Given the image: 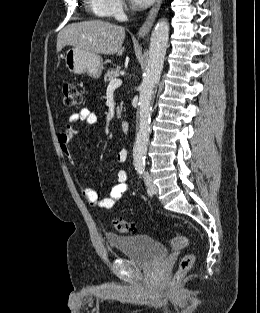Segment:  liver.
I'll use <instances>...</instances> for the list:
<instances>
[{"label": "liver", "instance_id": "1", "mask_svg": "<svg viewBox=\"0 0 260 313\" xmlns=\"http://www.w3.org/2000/svg\"><path fill=\"white\" fill-rule=\"evenodd\" d=\"M124 38L125 28L113 23L101 20L72 23L59 32L57 52L69 45L97 54L121 56Z\"/></svg>", "mask_w": 260, "mask_h": 313}]
</instances>
